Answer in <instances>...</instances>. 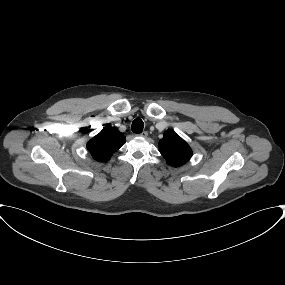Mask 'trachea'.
Here are the masks:
<instances>
[{"mask_svg": "<svg viewBox=\"0 0 285 285\" xmlns=\"http://www.w3.org/2000/svg\"><path fill=\"white\" fill-rule=\"evenodd\" d=\"M144 123L140 118H136L131 125V130L134 133H141L143 131Z\"/></svg>", "mask_w": 285, "mask_h": 285, "instance_id": "1", "label": "trachea"}]
</instances>
